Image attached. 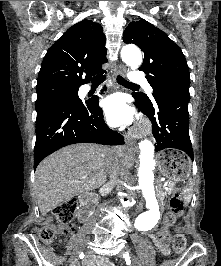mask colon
<instances>
[{"label":"colon","instance_id":"1","mask_svg":"<svg viewBox=\"0 0 221 266\" xmlns=\"http://www.w3.org/2000/svg\"><path fill=\"white\" fill-rule=\"evenodd\" d=\"M76 210V201L67 200L57 205L52 214L55 217L58 227L39 226L33 229V232L41 241L51 244L58 235H69L74 231L72 223ZM184 212V201L180 192L174 193L169 200V212H167L162 221V228L158 233V238L162 243L167 242L168 229L173 226L176 220L182 216ZM173 249L176 253H182L186 248V238L183 234H176L173 237Z\"/></svg>","mask_w":221,"mask_h":266}]
</instances>
